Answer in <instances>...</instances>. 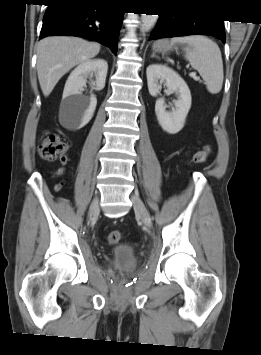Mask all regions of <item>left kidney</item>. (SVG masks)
Instances as JSON below:
<instances>
[{
  "mask_svg": "<svg viewBox=\"0 0 261 355\" xmlns=\"http://www.w3.org/2000/svg\"><path fill=\"white\" fill-rule=\"evenodd\" d=\"M147 84L150 95L157 96L162 84L170 92H175V108L166 111L165 101L160 98L155 104V113L162 129L169 134L178 133L185 124V119L191 108V93L186 82L173 69L159 64L149 65L146 69Z\"/></svg>",
  "mask_w": 261,
  "mask_h": 355,
  "instance_id": "obj_1",
  "label": "left kidney"
}]
</instances>
